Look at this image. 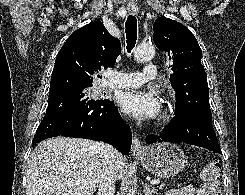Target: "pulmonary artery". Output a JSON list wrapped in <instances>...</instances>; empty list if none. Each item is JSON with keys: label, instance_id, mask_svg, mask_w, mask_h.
<instances>
[{"label": "pulmonary artery", "instance_id": "e3ab8cb5", "mask_svg": "<svg viewBox=\"0 0 245 195\" xmlns=\"http://www.w3.org/2000/svg\"><path fill=\"white\" fill-rule=\"evenodd\" d=\"M155 68V65L150 63L145 67L144 73L115 71L101 85L115 89L135 88L155 78Z\"/></svg>", "mask_w": 245, "mask_h": 195}]
</instances>
